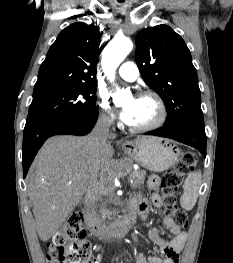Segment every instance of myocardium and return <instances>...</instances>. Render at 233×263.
I'll list each match as a JSON object with an SVG mask.
<instances>
[{
  "mask_svg": "<svg viewBox=\"0 0 233 263\" xmlns=\"http://www.w3.org/2000/svg\"><path fill=\"white\" fill-rule=\"evenodd\" d=\"M137 98H151L158 106L159 113L157 118L147 125L133 126L129 125L130 130L134 132H149L161 127L167 120L168 112L164 100L159 94L154 91H142L137 95Z\"/></svg>",
  "mask_w": 233,
  "mask_h": 263,
  "instance_id": "1",
  "label": "myocardium"
}]
</instances>
